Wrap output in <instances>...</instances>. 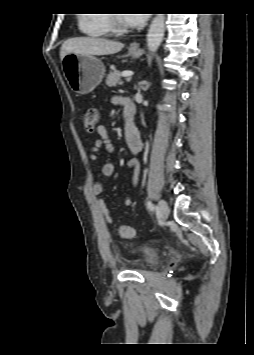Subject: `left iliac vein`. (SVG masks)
Returning a JSON list of instances; mask_svg holds the SVG:
<instances>
[{
    "label": "left iliac vein",
    "mask_w": 254,
    "mask_h": 355,
    "mask_svg": "<svg viewBox=\"0 0 254 355\" xmlns=\"http://www.w3.org/2000/svg\"><path fill=\"white\" fill-rule=\"evenodd\" d=\"M158 215L162 220H166L169 216V206L167 202L161 199L157 207Z\"/></svg>",
    "instance_id": "1"
}]
</instances>
